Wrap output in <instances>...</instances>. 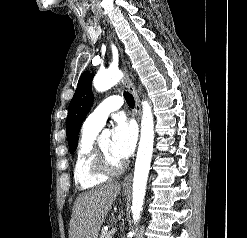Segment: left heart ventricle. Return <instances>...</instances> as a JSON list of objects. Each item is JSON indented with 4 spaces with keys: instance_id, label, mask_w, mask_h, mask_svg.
<instances>
[{
    "instance_id": "obj_1",
    "label": "left heart ventricle",
    "mask_w": 247,
    "mask_h": 238,
    "mask_svg": "<svg viewBox=\"0 0 247 238\" xmlns=\"http://www.w3.org/2000/svg\"><path fill=\"white\" fill-rule=\"evenodd\" d=\"M100 147L103 150V152L105 153V155L108 157V159L114 163V164H118L121 162V160L119 158H117L113 151H112V146H111V139L107 138L102 140L100 143Z\"/></svg>"
}]
</instances>
